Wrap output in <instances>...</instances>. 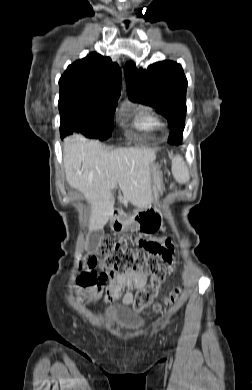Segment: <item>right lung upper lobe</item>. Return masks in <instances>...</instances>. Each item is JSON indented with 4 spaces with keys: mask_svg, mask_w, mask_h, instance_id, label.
I'll return each mask as SVG.
<instances>
[{
    "mask_svg": "<svg viewBox=\"0 0 252 390\" xmlns=\"http://www.w3.org/2000/svg\"><path fill=\"white\" fill-rule=\"evenodd\" d=\"M121 70L109 57L90 53L68 66L59 79V108L100 105L115 108L120 96Z\"/></svg>",
    "mask_w": 252,
    "mask_h": 390,
    "instance_id": "obj_1",
    "label": "right lung upper lobe"
}]
</instances>
